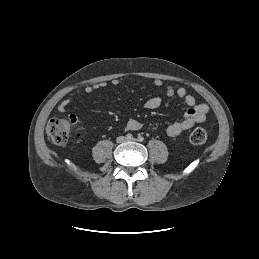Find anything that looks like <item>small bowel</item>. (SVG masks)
<instances>
[{"instance_id": "obj_1", "label": "small bowel", "mask_w": 259, "mask_h": 259, "mask_svg": "<svg viewBox=\"0 0 259 259\" xmlns=\"http://www.w3.org/2000/svg\"><path fill=\"white\" fill-rule=\"evenodd\" d=\"M111 84L117 86L119 84V80L113 79L111 80ZM154 86L157 88H161L163 86V81L160 79H156L153 82ZM107 85L106 82H100L91 86H86L83 90H78L76 93L79 94L81 92L85 94H91L94 90L105 87ZM165 95L168 98L178 97L180 98L189 109L185 113L184 117L177 122L172 123L166 129V133L169 137H176L183 132L191 129L194 125L202 123L205 121L206 116L209 112V106L205 103H196V99L193 95L188 93V91L183 88L175 89L172 86L165 87ZM162 103V98L159 96L151 97L145 102V108L153 110L157 109ZM70 104V99H64L59 105L58 110L61 113H64ZM143 127L142 123L137 119H130L125 129L128 131H137Z\"/></svg>"}]
</instances>
